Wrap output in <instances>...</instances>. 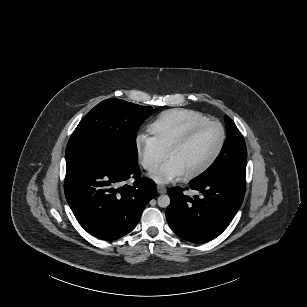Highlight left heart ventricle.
<instances>
[{"label":"left heart ventricle","mask_w":307,"mask_h":307,"mask_svg":"<svg viewBox=\"0 0 307 307\" xmlns=\"http://www.w3.org/2000/svg\"><path fill=\"white\" fill-rule=\"evenodd\" d=\"M223 138L219 125L207 127L186 147L174 152L168 161L176 165L185 175L200 169L215 154Z\"/></svg>","instance_id":"obj_1"}]
</instances>
